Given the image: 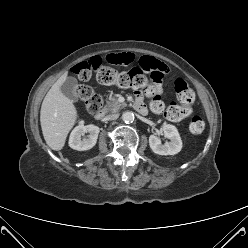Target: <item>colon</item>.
Returning a JSON list of instances; mask_svg holds the SVG:
<instances>
[{
  "mask_svg": "<svg viewBox=\"0 0 248 248\" xmlns=\"http://www.w3.org/2000/svg\"><path fill=\"white\" fill-rule=\"evenodd\" d=\"M101 59H93L84 62L75 68V74L83 83L78 85L75 89V95L82 100L90 114L98 112L103 104L100 95L86 84L90 79L92 69H98L96 78L99 83L103 85H116L121 88L141 89L151 99V109L156 113H164L168 119L176 121L181 119L192 107L195 101V93L189 87L187 82L181 78L174 81V89L176 92L179 104H172L165 108L164 103L160 100L158 95V86L162 77L156 78L152 73L150 80L139 69H132L127 72H118L110 66H101ZM205 123L199 116H194L189 122V130L193 134H201L204 131Z\"/></svg>",
  "mask_w": 248,
  "mask_h": 248,
  "instance_id": "5ec220e1",
  "label": "colon"
}]
</instances>
